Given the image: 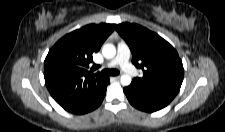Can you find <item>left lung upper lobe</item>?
I'll use <instances>...</instances> for the list:
<instances>
[{
  "label": "left lung upper lobe",
  "mask_w": 225,
  "mask_h": 132,
  "mask_svg": "<svg viewBox=\"0 0 225 132\" xmlns=\"http://www.w3.org/2000/svg\"><path fill=\"white\" fill-rule=\"evenodd\" d=\"M116 30L129 45L132 63L142 69L143 76L131 84L147 91L177 95L184 69L174 47L158 34L137 24L121 23Z\"/></svg>",
  "instance_id": "5c2ea615"
}]
</instances>
